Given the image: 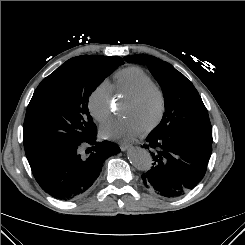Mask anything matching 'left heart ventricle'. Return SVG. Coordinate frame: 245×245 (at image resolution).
<instances>
[{
    "mask_svg": "<svg viewBox=\"0 0 245 245\" xmlns=\"http://www.w3.org/2000/svg\"><path fill=\"white\" fill-rule=\"evenodd\" d=\"M159 107L158 94L149 90L140 99L124 103L121 112L136 128L143 131L155 120Z\"/></svg>",
    "mask_w": 245,
    "mask_h": 245,
    "instance_id": "left-heart-ventricle-1",
    "label": "left heart ventricle"
}]
</instances>
